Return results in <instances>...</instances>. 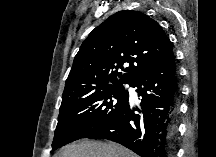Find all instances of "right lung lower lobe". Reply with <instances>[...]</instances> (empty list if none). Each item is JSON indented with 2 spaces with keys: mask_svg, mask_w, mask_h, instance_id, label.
I'll return each mask as SVG.
<instances>
[{
  "mask_svg": "<svg viewBox=\"0 0 216 157\" xmlns=\"http://www.w3.org/2000/svg\"><path fill=\"white\" fill-rule=\"evenodd\" d=\"M130 86L141 97L139 107L128 99L110 122L87 138L117 142L140 157H174L180 87L173 52Z\"/></svg>",
  "mask_w": 216,
  "mask_h": 157,
  "instance_id": "right-lung-lower-lobe-1",
  "label": "right lung lower lobe"
}]
</instances>
